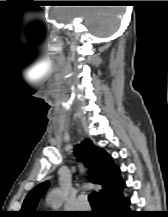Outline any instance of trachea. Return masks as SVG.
I'll list each match as a JSON object with an SVG mask.
<instances>
[{
  "instance_id": "3493384b",
  "label": "trachea",
  "mask_w": 168,
  "mask_h": 217,
  "mask_svg": "<svg viewBox=\"0 0 168 217\" xmlns=\"http://www.w3.org/2000/svg\"><path fill=\"white\" fill-rule=\"evenodd\" d=\"M89 202L92 206H98V195L97 192H93L89 195Z\"/></svg>"
}]
</instances>
